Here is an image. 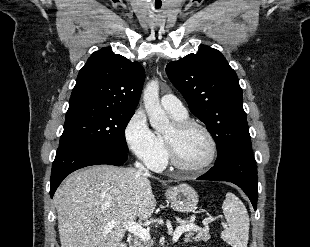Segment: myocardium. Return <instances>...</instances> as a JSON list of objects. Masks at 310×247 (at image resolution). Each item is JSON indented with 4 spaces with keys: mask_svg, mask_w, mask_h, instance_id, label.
I'll use <instances>...</instances> for the list:
<instances>
[{
    "mask_svg": "<svg viewBox=\"0 0 310 247\" xmlns=\"http://www.w3.org/2000/svg\"><path fill=\"white\" fill-rule=\"evenodd\" d=\"M173 128L176 134H180L194 128L201 130L207 136L211 148L210 156L203 164L196 167H190L184 165L179 160L173 139L164 136L166 150L170 162L174 167L189 174H200L206 169H208L215 162L218 153L217 143L211 131L204 124L194 120H179L174 122Z\"/></svg>",
    "mask_w": 310,
    "mask_h": 247,
    "instance_id": "f54148a6",
    "label": "myocardium"
}]
</instances>
